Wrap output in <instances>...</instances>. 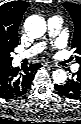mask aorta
Instances as JSON below:
<instances>
[{
	"label": "aorta",
	"mask_w": 81,
	"mask_h": 124,
	"mask_svg": "<svg viewBox=\"0 0 81 124\" xmlns=\"http://www.w3.org/2000/svg\"><path fill=\"white\" fill-rule=\"evenodd\" d=\"M24 28L30 37L40 38L46 32V22L42 17L33 15L25 20ZM52 77L55 83L62 84L67 80V73L63 69H57Z\"/></svg>",
	"instance_id": "1"
}]
</instances>
